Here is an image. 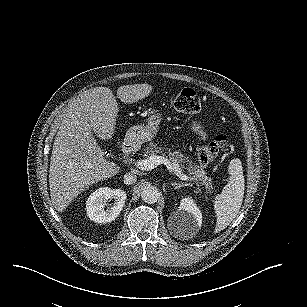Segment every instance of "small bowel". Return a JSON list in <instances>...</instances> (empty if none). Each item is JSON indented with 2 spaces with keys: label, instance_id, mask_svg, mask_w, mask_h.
<instances>
[{
  "label": "small bowel",
  "instance_id": "small-bowel-1",
  "mask_svg": "<svg viewBox=\"0 0 307 307\" xmlns=\"http://www.w3.org/2000/svg\"><path fill=\"white\" fill-rule=\"evenodd\" d=\"M192 129L199 137L203 138L205 136V133L202 130V127L199 125L198 122L192 123Z\"/></svg>",
  "mask_w": 307,
  "mask_h": 307
}]
</instances>
